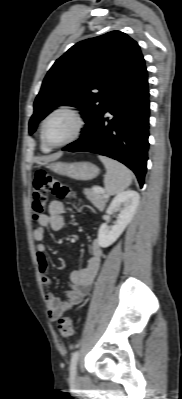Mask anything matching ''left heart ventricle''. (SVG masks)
<instances>
[{
    "mask_svg": "<svg viewBox=\"0 0 182 399\" xmlns=\"http://www.w3.org/2000/svg\"><path fill=\"white\" fill-rule=\"evenodd\" d=\"M75 125L74 118L69 114H57L47 123L46 138L53 144L61 143L72 135Z\"/></svg>",
    "mask_w": 182,
    "mask_h": 399,
    "instance_id": "b2bd125f",
    "label": "left heart ventricle"
}]
</instances>
